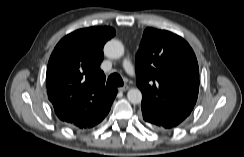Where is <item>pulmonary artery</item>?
Here are the masks:
<instances>
[{
	"mask_svg": "<svg viewBox=\"0 0 244 157\" xmlns=\"http://www.w3.org/2000/svg\"><path fill=\"white\" fill-rule=\"evenodd\" d=\"M123 66L125 68V70L129 73V74H133L134 72V69H133V66L130 62L129 59H125L124 62H123Z\"/></svg>",
	"mask_w": 244,
	"mask_h": 157,
	"instance_id": "1",
	"label": "pulmonary artery"
}]
</instances>
